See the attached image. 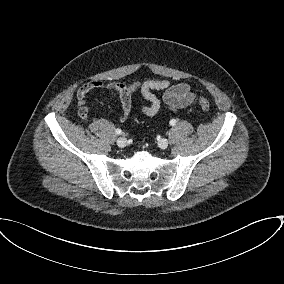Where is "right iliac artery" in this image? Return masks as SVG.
Masks as SVG:
<instances>
[{"label": "right iliac artery", "mask_w": 284, "mask_h": 284, "mask_svg": "<svg viewBox=\"0 0 284 284\" xmlns=\"http://www.w3.org/2000/svg\"><path fill=\"white\" fill-rule=\"evenodd\" d=\"M115 132H116V134H118V135H120V134L122 133L121 129H119V128H117V129L115 130Z\"/></svg>", "instance_id": "obj_1"}]
</instances>
